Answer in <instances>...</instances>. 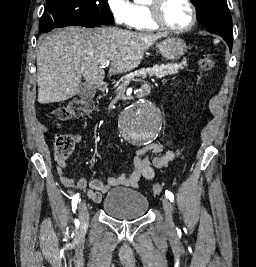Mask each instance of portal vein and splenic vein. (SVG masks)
Returning <instances> with one entry per match:
<instances>
[{
    "label": "portal vein and splenic vein",
    "instance_id": "18ae733b",
    "mask_svg": "<svg viewBox=\"0 0 256 267\" xmlns=\"http://www.w3.org/2000/svg\"><path fill=\"white\" fill-rule=\"evenodd\" d=\"M101 66H109V62H103V60H101L100 62ZM139 75H142V73H149V70H142V72H140V70H137V72L133 73L134 77H137Z\"/></svg>",
    "mask_w": 256,
    "mask_h": 267
}]
</instances>
